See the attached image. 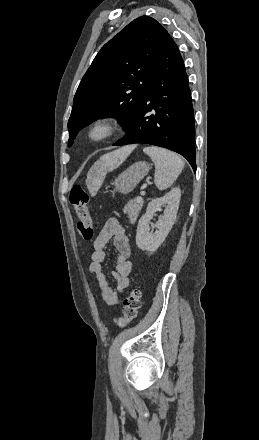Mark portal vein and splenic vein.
Instances as JSON below:
<instances>
[{"label": "portal vein and splenic vein", "instance_id": "18ae733b", "mask_svg": "<svg viewBox=\"0 0 259 440\" xmlns=\"http://www.w3.org/2000/svg\"><path fill=\"white\" fill-rule=\"evenodd\" d=\"M140 194H141V196H139V197L136 198V201H138V202H142V201H143L142 196H143L145 193H144V192H141Z\"/></svg>", "mask_w": 259, "mask_h": 440}]
</instances>
